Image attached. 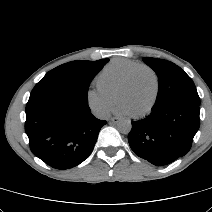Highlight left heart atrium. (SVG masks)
Segmentation results:
<instances>
[{
	"instance_id": "39dd6f15",
	"label": "left heart atrium",
	"mask_w": 212,
	"mask_h": 212,
	"mask_svg": "<svg viewBox=\"0 0 212 212\" xmlns=\"http://www.w3.org/2000/svg\"><path fill=\"white\" fill-rule=\"evenodd\" d=\"M116 111L118 114L125 115V116H129L132 114L131 110L125 104H120L117 107Z\"/></svg>"
}]
</instances>
